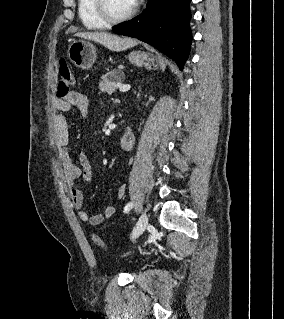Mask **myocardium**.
<instances>
[{
	"label": "myocardium",
	"instance_id": "f54148a6",
	"mask_svg": "<svg viewBox=\"0 0 284 319\" xmlns=\"http://www.w3.org/2000/svg\"><path fill=\"white\" fill-rule=\"evenodd\" d=\"M95 7L96 11L99 14V16L107 23V24H119L123 23L127 20H129L136 11L135 5L131 8L129 12L122 16H113L109 12L108 6H107V0H95Z\"/></svg>",
	"mask_w": 284,
	"mask_h": 319
}]
</instances>
